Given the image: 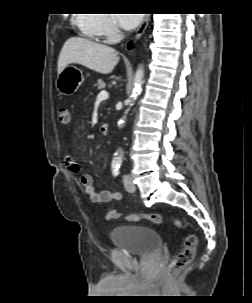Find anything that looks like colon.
<instances>
[{"label":"colon","mask_w":252,"mask_h":303,"mask_svg":"<svg viewBox=\"0 0 252 303\" xmlns=\"http://www.w3.org/2000/svg\"><path fill=\"white\" fill-rule=\"evenodd\" d=\"M59 121L63 125L70 123V113L66 107H62L59 110ZM122 216L116 210H110L106 214L107 220H115ZM124 218L128 221L137 222L141 220H147L153 224H163L164 222H171L177 227H181V223L173 218H165L157 213H129L125 214ZM197 250V239L194 236H188L184 240V245L180 251L175 255L173 260L168 266V275L176 276L185 266L190 264L195 256Z\"/></svg>","instance_id":"1"}]
</instances>
